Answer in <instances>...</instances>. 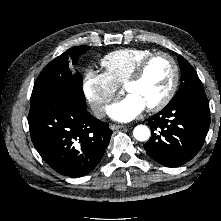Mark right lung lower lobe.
<instances>
[{"label": "right lung lower lobe", "instance_id": "1", "mask_svg": "<svg viewBox=\"0 0 221 221\" xmlns=\"http://www.w3.org/2000/svg\"><path fill=\"white\" fill-rule=\"evenodd\" d=\"M32 142L46 163L70 177L89 173L101 160L112 131L94 118L85 102L70 93H57L30 105Z\"/></svg>", "mask_w": 221, "mask_h": 221}]
</instances>
